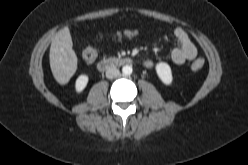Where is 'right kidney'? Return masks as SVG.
<instances>
[{
  "label": "right kidney",
  "instance_id": "obj_1",
  "mask_svg": "<svg viewBox=\"0 0 248 165\" xmlns=\"http://www.w3.org/2000/svg\"><path fill=\"white\" fill-rule=\"evenodd\" d=\"M88 80L89 78L87 75H80L75 82L76 92H82L87 86Z\"/></svg>",
  "mask_w": 248,
  "mask_h": 165
}]
</instances>
